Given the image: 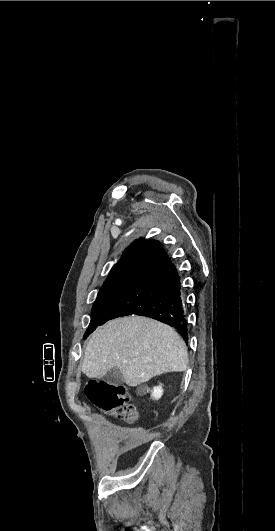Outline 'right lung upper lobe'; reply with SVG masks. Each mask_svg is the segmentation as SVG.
I'll use <instances>...</instances> for the list:
<instances>
[{
    "mask_svg": "<svg viewBox=\"0 0 275 531\" xmlns=\"http://www.w3.org/2000/svg\"><path fill=\"white\" fill-rule=\"evenodd\" d=\"M164 252L157 240H136L125 250L120 261L112 267L109 275L132 269H146Z\"/></svg>",
    "mask_w": 275,
    "mask_h": 531,
    "instance_id": "obj_1",
    "label": "right lung upper lobe"
}]
</instances>
